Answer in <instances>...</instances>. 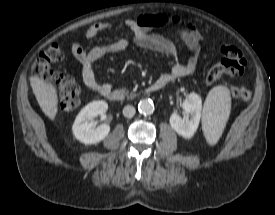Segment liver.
<instances>
[{"instance_id":"1","label":"liver","mask_w":275,"mask_h":215,"mask_svg":"<svg viewBox=\"0 0 275 215\" xmlns=\"http://www.w3.org/2000/svg\"><path fill=\"white\" fill-rule=\"evenodd\" d=\"M30 84L40 108L51 121H54L58 112L56 86L38 76H31Z\"/></svg>"}]
</instances>
